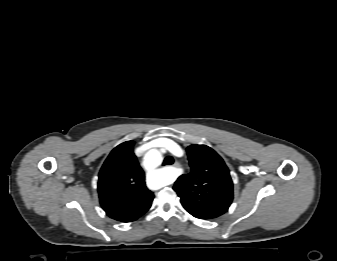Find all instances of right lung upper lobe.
<instances>
[{
  "label": "right lung upper lobe",
  "instance_id": "obj_1",
  "mask_svg": "<svg viewBox=\"0 0 337 261\" xmlns=\"http://www.w3.org/2000/svg\"><path fill=\"white\" fill-rule=\"evenodd\" d=\"M134 143L126 141L114 148L99 173L100 204L109 217L121 222L137 220L154 198L133 152Z\"/></svg>",
  "mask_w": 337,
  "mask_h": 261
}]
</instances>
